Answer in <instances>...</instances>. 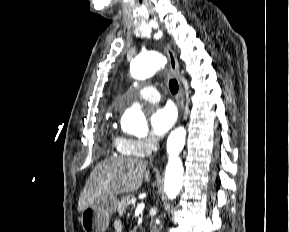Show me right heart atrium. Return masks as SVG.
Masks as SVG:
<instances>
[{
	"label": "right heart atrium",
	"instance_id": "d8ad5b80",
	"mask_svg": "<svg viewBox=\"0 0 289 232\" xmlns=\"http://www.w3.org/2000/svg\"><path fill=\"white\" fill-rule=\"evenodd\" d=\"M155 147L156 140L152 137L126 139V149L132 156H147Z\"/></svg>",
	"mask_w": 289,
	"mask_h": 232
}]
</instances>
